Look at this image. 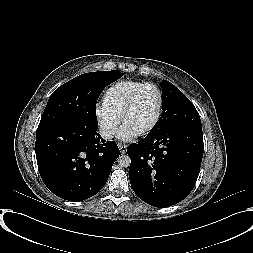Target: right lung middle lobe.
<instances>
[{"label": "right lung middle lobe", "instance_id": "right-lung-middle-lobe-1", "mask_svg": "<svg viewBox=\"0 0 253 253\" xmlns=\"http://www.w3.org/2000/svg\"><path fill=\"white\" fill-rule=\"evenodd\" d=\"M123 75L120 71L91 72L63 84L50 96L37 130L73 120L97 126L95 106L103 88Z\"/></svg>", "mask_w": 253, "mask_h": 253}]
</instances>
